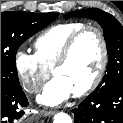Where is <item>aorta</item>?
<instances>
[{"label":"aorta","mask_w":123,"mask_h":123,"mask_svg":"<svg viewBox=\"0 0 123 123\" xmlns=\"http://www.w3.org/2000/svg\"><path fill=\"white\" fill-rule=\"evenodd\" d=\"M53 123H72V119L68 114L59 112L54 115Z\"/></svg>","instance_id":"1"}]
</instances>
